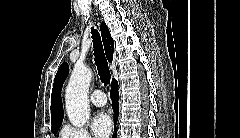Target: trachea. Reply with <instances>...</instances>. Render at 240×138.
<instances>
[{"instance_id": "obj_1", "label": "trachea", "mask_w": 240, "mask_h": 138, "mask_svg": "<svg viewBox=\"0 0 240 138\" xmlns=\"http://www.w3.org/2000/svg\"><path fill=\"white\" fill-rule=\"evenodd\" d=\"M91 29L93 38L94 57L98 74L100 76L102 83H104V85L107 86L110 83L111 78L108 62L105 57L99 33L93 27Z\"/></svg>"}]
</instances>
